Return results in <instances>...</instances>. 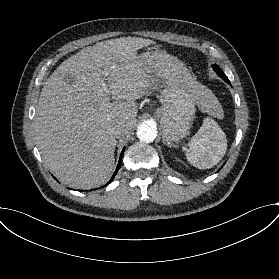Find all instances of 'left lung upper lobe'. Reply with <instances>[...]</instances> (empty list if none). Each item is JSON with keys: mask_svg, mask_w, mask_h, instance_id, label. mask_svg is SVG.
I'll return each mask as SVG.
<instances>
[{"mask_svg": "<svg viewBox=\"0 0 279 279\" xmlns=\"http://www.w3.org/2000/svg\"><path fill=\"white\" fill-rule=\"evenodd\" d=\"M213 69L222 79L225 80V82L230 84V81L228 80V78L226 77V75L223 73V71L220 69L218 65H213Z\"/></svg>", "mask_w": 279, "mask_h": 279, "instance_id": "left-lung-upper-lobe-1", "label": "left lung upper lobe"}]
</instances>
